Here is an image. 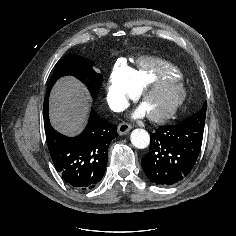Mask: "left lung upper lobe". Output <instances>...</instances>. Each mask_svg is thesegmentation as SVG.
<instances>
[{
	"instance_id": "5c2ea615",
	"label": "left lung upper lobe",
	"mask_w": 236,
	"mask_h": 236,
	"mask_svg": "<svg viewBox=\"0 0 236 236\" xmlns=\"http://www.w3.org/2000/svg\"><path fill=\"white\" fill-rule=\"evenodd\" d=\"M205 117H206V102L197 113L184 120L183 123L204 128Z\"/></svg>"
}]
</instances>
